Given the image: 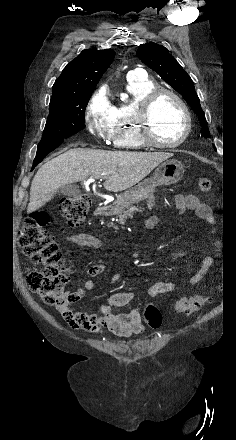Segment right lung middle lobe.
Segmentation results:
<instances>
[{"instance_id":"obj_1","label":"right lung middle lobe","mask_w":236,"mask_h":440,"mask_svg":"<svg viewBox=\"0 0 236 440\" xmlns=\"http://www.w3.org/2000/svg\"><path fill=\"white\" fill-rule=\"evenodd\" d=\"M91 93L68 101L50 103L49 116L39 144L63 141L85 127V109Z\"/></svg>"}]
</instances>
